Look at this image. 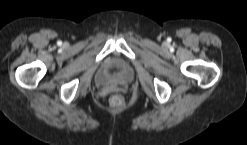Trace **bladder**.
<instances>
[{"mask_svg":"<svg viewBox=\"0 0 247 145\" xmlns=\"http://www.w3.org/2000/svg\"><path fill=\"white\" fill-rule=\"evenodd\" d=\"M132 78H133V76H132L131 71L127 70V73L124 76L119 78V82L123 85H127L132 81ZM110 82L111 81L107 78H103L100 80L101 85H108V84H110Z\"/></svg>","mask_w":247,"mask_h":145,"instance_id":"bladder-1","label":"bladder"}]
</instances>
